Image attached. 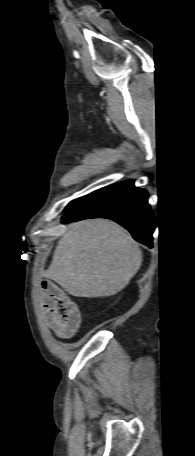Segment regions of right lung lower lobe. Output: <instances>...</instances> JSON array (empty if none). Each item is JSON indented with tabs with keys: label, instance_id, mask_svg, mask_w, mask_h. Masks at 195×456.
<instances>
[{
	"label": "right lung lower lobe",
	"instance_id": "right-lung-lower-lobe-1",
	"mask_svg": "<svg viewBox=\"0 0 195 456\" xmlns=\"http://www.w3.org/2000/svg\"><path fill=\"white\" fill-rule=\"evenodd\" d=\"M147 198L146 190L135 187L132 180L112 184L66 211L63 222L87 218L111 219L130 231L135 240L152 247L156 222Z\"/></svg>",
	"mask_w": 195,
	"mask_h": 456
}]
</instances>
